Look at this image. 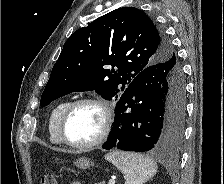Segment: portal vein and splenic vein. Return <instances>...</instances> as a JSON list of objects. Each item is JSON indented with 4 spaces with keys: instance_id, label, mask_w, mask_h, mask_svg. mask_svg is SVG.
Instances as JSON below:
<instances>
[{
    "instance_id": "1",
    "label": "portal vein and splenic vein",
    "mask_w": 224,
    "mask_h": 184,
    "mask_svg": "<svg viewBox=\"0 0 224 184\" xmlns=\"http://www.w3.org/2000/svg\"><path fill=\"white\" fill-rule=\"evenodd\" d=\"M108 184H115V180L114 179H110Z\"/></svg>"
}]
</instances>
